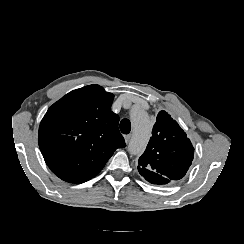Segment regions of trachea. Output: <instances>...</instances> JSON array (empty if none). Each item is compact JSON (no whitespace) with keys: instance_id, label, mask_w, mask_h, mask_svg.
Listing matches in <instances>:
<instances>
[{"instance_id":"trachea-1","label":"trachea","mask_w":244,"mask_h":244,"mask_svg":"<svg viewBox=\"0 0 244 244\" xmlns=\"http://www.w3.org/2000/svg\"><path fill=\"white\" fill-rule=\"evenodd\" d=\"M120 130L123 134H129L131 131V122L128 119H123L120 122Z\"/></svg>"}]
</instances>
